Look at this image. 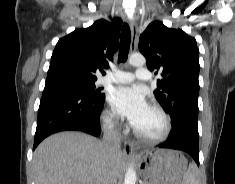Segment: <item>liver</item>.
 <instances>
[{"instance_id": "1", "label": "liver", "mask_w": 235, "mask_h": 184, "mask_svg": "<svg viewBox=\"0 0 235 184\" xmlns=\"http://www.w3.org/2000/svg\"><path fill=\"white\" fill-rule=\"evenodd\" d=\"M122 166L121 154H107L97 138L81 132L53 134L33 156L35 184L116 182Z\"/></svg>"}]
</instances>
